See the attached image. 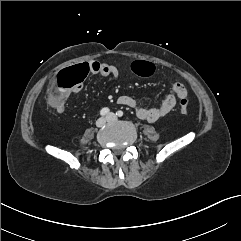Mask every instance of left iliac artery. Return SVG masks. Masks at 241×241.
Listing matches in <instances>:
<instances>
[{
	"label": "left iliac artery",
	"instance_id": "left-iliac-artery-1",
	"mask_svg": "<svg viewBox=\"0 0 241 241\" xmlns=\"http://www.w3.org/2000/svg\"><path fill=\"white\" fill-rule=\"evenodd\" d=\"M116 115H117L118 117H122V116H123V111L118 110V111L116 112Z\"/></svg>",
	"mask_w": 241,
	"mask_h": 241
}]
</instances>
